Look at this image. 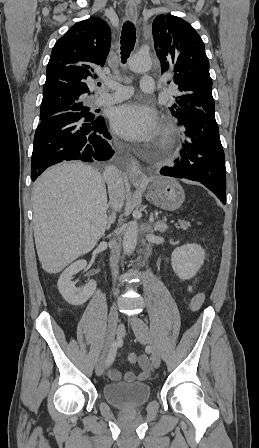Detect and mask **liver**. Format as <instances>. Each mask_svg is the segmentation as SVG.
I'll list each match as a JSON object with an SVG mask.
<instances>
[{"instance_id": "1", "label": "liver", "mask_w": 259, "mask_h": 448, "mask_svg": "<svg viewBox=\"0 0 259 448\" xmlns=\"http://www.w3.org/2000/svg\"><path fill=\"white\" fill-rule=\"evenodd\" d=\"M33 230L41 266L62 272L88 254L107 226L103 176L83 162H62L43 172L33 186Z\"/></svg>"}]
</instances>
